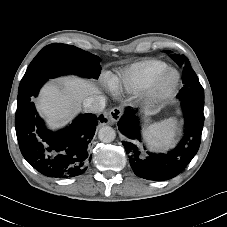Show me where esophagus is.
Segmentation results:
<instances>
[{
  "instance_id": "34e87169",
  "label": "esophagus",
  "mask_w": 227,
  "mask_h": 227,
  "mask_svg": "<svg viewBox=\"0 0 227 227\" xmlns=\"http://www.w3.org/2000/svg\"><path fill=\"white\" fill-rule=\"evenodd\" d=\"M121 114H122L121 109L119 107H115L111 109L110 112L108 113V120L111 122H117L120 119ZM99 122L101 124V120H99Z\"/></svg>"
}]
</instances>
